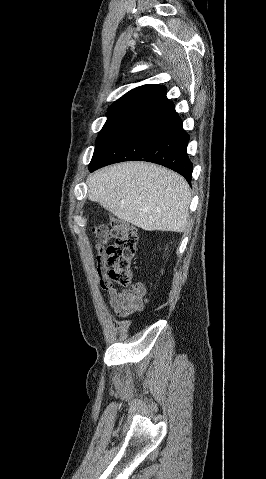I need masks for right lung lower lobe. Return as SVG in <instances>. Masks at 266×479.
Listing matches in <instances>:
<instances>
[{"instance_id": "obj_1", "label": "right lung lower lobe", "mask_w": 266, "mask_h": 479, "mask_svg": "<svg viewBox=\"0 0 266 479\" xmlns=\"http://www.w3.org/2000/svg\"><path fill=\"white\" fill-rule=\"evenodd\" d=\"M189 135L166 96L138 112L105 146L89 170L130 160L148 161L181 174L190 184Z\"/></svg>"}]
</instances>
